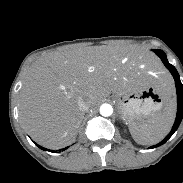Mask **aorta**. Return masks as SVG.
<instances>
[{
	"mask_svg": "<svg viewBox=\"0 0 183 183\" xmlns=\"http://www.w3.org/2000/svg\"><path fill=\"white\" fill-rule=\"evenodd\" d=\"M113 113V108L110 104L108 103H105V104H102L101 107H100V114L104 117H108L110 115H112Z\"/></svg>",
	"mask_w": 183,
	"mask_h": 183,
	"instance_id": "obj_1",
	"label": "aorta"
}]
</instances>
